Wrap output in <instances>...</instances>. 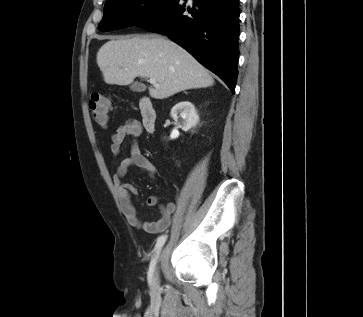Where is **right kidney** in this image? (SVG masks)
<instances>
[{"label":"right kidney","mask_w":363,"mask_h":317,"mask_svg":"<svg viewBox=\"0 0 363 317\" xmlns=\"http://www.w3.org/2000/svg\"><path fill=\"white\" fill-rule=\"evenodd\" d=\"M178 113L182 119V125L180 127L183 131H189L191 128L196 126L199 122V116L194 105L191 102L183 101L177 103L171 110V116L178 120Z\"/></svg>","instance_id":"right-kidney-1"}]
</instances>
